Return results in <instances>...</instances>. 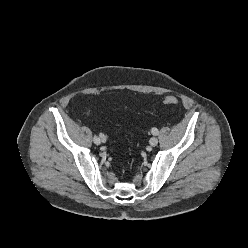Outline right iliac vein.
<instances>
[{
  "label": "right iliac vein",
  "mask_w": 248,
  "mask_h": 248,
  "mask_svg": "<svg viewBox=\"0 0 248 248\" xmlns=\"http://www.w3.org/2000/svg\"><path fill=\"white\" fill-rule=\"evenodd\" d=\"M99 138V140H100V143H102V142H105L106 141V138L105 137H98Z\"/></svg>",
  "instance_id": "1"
}]
</instances>
